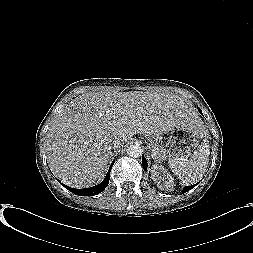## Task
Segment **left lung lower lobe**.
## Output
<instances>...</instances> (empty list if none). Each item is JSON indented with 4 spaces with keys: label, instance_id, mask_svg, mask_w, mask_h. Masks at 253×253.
I'll return each mask as SVG.
<instances>
[{
    "label": "left lung lower lobe",
    "instance_id": "left-lung-lower-lobe-1",
    "mask_svg": "<svg viewBox=\"0 0 253 253\" xmlns=\"http://www.w3.org/2000/svg\"><path fill=\"white\" fill-rule=\"evenodd\" d=\"M199 111H200V113L202 114V112H201L200 109H199ZM142 165H143L144 170H146V169H147V161H146V159H145L144 156H142ZM194 187H195V185L186 186V187L184 188V190H183V193L189 191L190 189H192V188H194Z\"/></svg>",
    "mask_w": 253,
    "mask_h": 253
}]
</instances>
